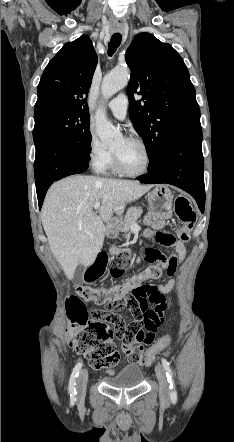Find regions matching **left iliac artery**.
I'll use <instances>...</instances> for the list:
<instances>
[{"instance_id":"1","label":"left iliac artery","mask_w":234,"mask_h":442,"mask_svg":"<svg viewBox=\"0 0 234 442\" xmlns=\"http://www.w3.org/2000/svg\"><path fill=\"white\" fill-rule=\"evenodd\" d=\"M162 364H163L164 369L166 370L167 379H168V382L170 384L169 388H170V398H171V401L173 403H176V401H177V391H176V387H175V383H174V379H173V374H172L169 362H167L166 359H162Z\"/></svg>"}]
</instances>
